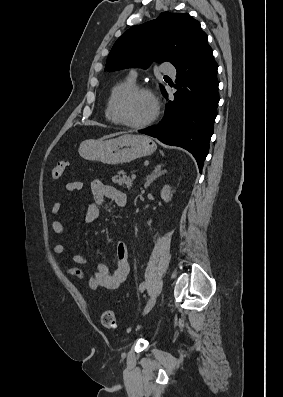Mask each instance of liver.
<instances>
[{
  "label": "liver",
  "instance_id": "6515ba94",
  "mask_svg": "<svg viewBox=\"0 0 283 397\" xmlns=\"http://www.w3.org/2000/svg\"><path fill=\"white\" fill-rule=\"evenodd\" d=\"M118 134H120V133H115V134H112V135H110V136H115V135H118ZM108 137V136H107Z\"/></svg>",
  "mask_w": 283,
  "mask_h": 397
}]
</instances>
